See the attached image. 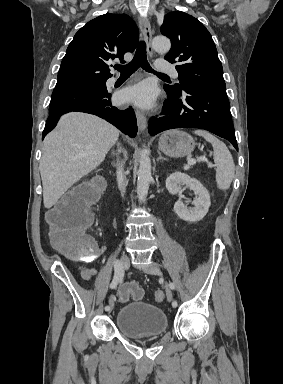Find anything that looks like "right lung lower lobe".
Segmentation results:
<instances>
[{
  "mask_svg": "<svg viewBox=\"0 0 283 384\" xmlns=\"http://www.w3.org/2000/svg\"><path fill=\"white\" fill-rule=\"evenodd\" d=\"M110 99L109 94L106 97L86 99L69 106L49 109L50 116L47 119L42 139L55 128L59 117L70 111L97 115L116 126L123 133L135 137L137 134V121L133 109H118L112 106Z\"/></svg>",
  "mask_w": 283,
  "mask_h": 384,
  "instance_id": "98d812e1",
  "label": "right lung lower lobe"
}]
</instances>
